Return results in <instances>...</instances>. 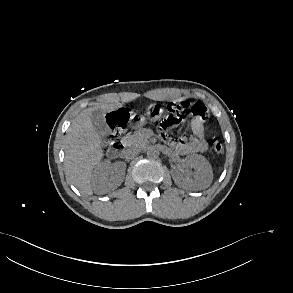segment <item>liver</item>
Segmentation results:
<instances>
[{
    "instance_id": "liver-1",
    "label": "liver",
    "mask_w": 293,
    "mask_h": 293,
    "mask_svg": "<svg viewBox=\"0 0 293 293\" xmlns=\"http://www.w3.org/2000/svg\"><path fill=\"white\" fill-rule=\"evenodd\" d=\"M99 106L83 110L72 122L65 138V168L70 182L82 193L91 195V175L104 156L102 140L91 116Z\"/></svg>"
}]
</instances>
